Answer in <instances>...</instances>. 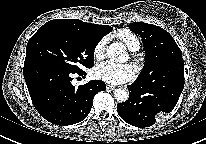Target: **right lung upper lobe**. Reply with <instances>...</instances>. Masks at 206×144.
<instances>
[{
    "label": "right lung upper lobe",
    "mask_w": 206,
    "mask_h": 144,
    "mask_svg": "<svg viewBox=\"0 0 206 144\" xmlns=\"http://www.w3.org/2000/svg\"><path fill=\"white\" fill-rule=\"evenodd\" d=\"M49 22L71 26L101 39L113 29L107 25L91 24L77 19H55Z\"/></svg>",
    "instance_id": "right-lung-upper-lobe-1"
}]
</instances>
